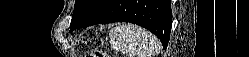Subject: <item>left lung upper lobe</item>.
<instances>
[{"mask_svg":"<svg viewBox=\"0 0 249 57\" xmlns=\"http://www.w3.org/2000/svg\"><path fill=\"white\" fill-rule=\"evenodd\" d=\"M108 0H76L71 20V31L94 16Z\"/></svg>","mask_w":249,"mask_h":57,"instance_id":"5c2ea615","label":"left lung upper lobe"}]
</instances>
